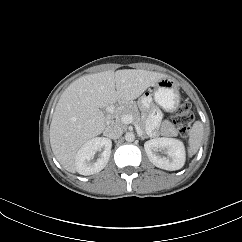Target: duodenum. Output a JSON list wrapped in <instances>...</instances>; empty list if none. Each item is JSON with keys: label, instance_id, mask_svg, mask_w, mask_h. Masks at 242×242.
Instances as JSON below:
<instances>
[{"label": "duodenum", "instance_id": "410a0bca", "mask_svg": "<svg viewBox=\"0 0 242 242\" xmlns=\"http://www.w3.org/2000/svg\"><path fill=\"white\" fill-rule=\"evenodd\" d=\"M113 111H114V106L108 107V109H107V117H109L113 113Z\"/></svg>", "mask_w": 242, "mask_h": 242}]
</instances>
